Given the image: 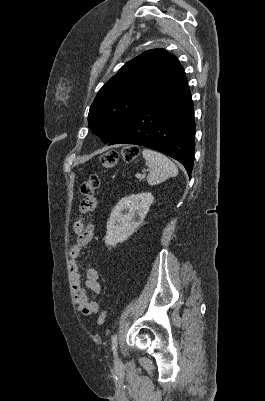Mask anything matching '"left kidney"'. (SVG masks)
<instances>
[{
  "label": "left kidney",
  "instance_id": "1",
  "mask_svg": "<svg viewBox=\"0 0 265 401\" xmlns=\"http://www.w3.org/2000/svg\"><path fill=\"white\" fill-rule=\"evenodd\" d=\"M154 203L152 192H138L124 196L114 207L107 223V233L104 239L107 247H115L117 243H123L143 223L150 205ZM128 209L123 215L122 211Z\"/></svg>",
  "mask_w": 265,
  "mask_h": 401
}]
</instances>
